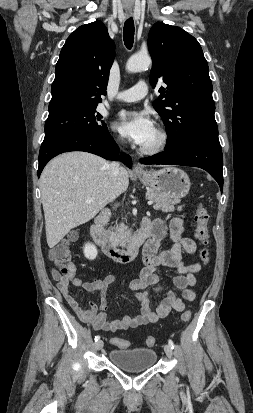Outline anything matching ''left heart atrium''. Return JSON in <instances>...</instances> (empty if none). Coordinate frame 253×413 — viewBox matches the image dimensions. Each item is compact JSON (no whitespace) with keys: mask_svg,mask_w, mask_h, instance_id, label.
<instances>
[{"mask_svg":"<svg viewBox=\"0 0 253 413\" xmlns=\"http://www.w3.org/2000/svg\"><path fill=\"white\" fill-rule=\"evenodd\" d=\"M113 127L138 145H143L155 129L154 122L147 112L136 111L119 113Z\"/></svg>","mask_w":253,"mask_h":413,"instance_id":"39dd6f15","label":"left heart atrium"}]
</instances>
